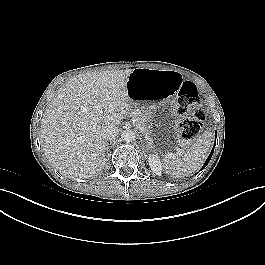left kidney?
<instances>
[{
    "instance_id": "1",
    "label": "left kidney",
    "mask_w": 265,
    "mask_h": 265,
    "mask_svg": "<svg viewBox=\"0 0 265 265\" xmlns=\"http://www.w3.org/2000/svg\"><path fill=\"white\" fill-rule=\"evenodd\" d=\"M149 166L151 170L157 175L162 174V165L157 155H150L148 158Z\"/></svg>"
}]
</instances>
